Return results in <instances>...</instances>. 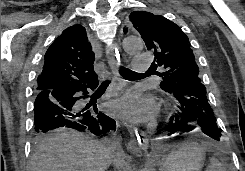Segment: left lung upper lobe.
Wrapping results in <instances>:
<instances>
[{
    "label": "left lung upper lobe",
    "mask_w": 245,
    "mask_h": 171,
    "mask_svg": "<svg viewBox=\"0 0 245 171\" xmlns=\"http://www.w3.org/2000/svg\"><path fill=\"white\" fill-rule=\"evenodd\" d=\"M129 18L147 49L154 52L152 66L167 70L159 74L163 79L160 87L164 91L171 90L182 80L201 82L189 39L178 25L161 15L145 11L132 12ZM124 32H127L126 28Z\"/></svg>",
    "instance_id": "obj_1"
}]
</instances>
